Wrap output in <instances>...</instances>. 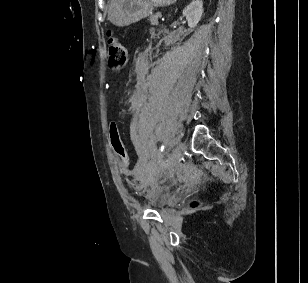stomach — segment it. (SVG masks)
I'll list each match as a JSON object with an SVG mask.
<instances>
[{
	"mask_svg": "<svg viewBox=\"0 0 308 283\" xmlns=\"http://www.w3.org/2000/svg\"><path fill=\"white\" fill-rule=\"evenodd\" d=\"M176 0H111L108 6L109 21L124 27L135 23L152 13L156 6H166Z\"/></svg>",
	"mask_w": 308,
	"mask_h": 283,
	"instance_id": "obj_1",
	"label": "stomach"
}]
</instances>
